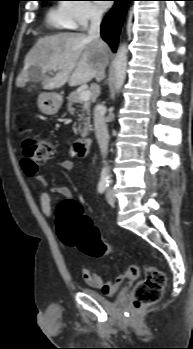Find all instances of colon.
Here are the masks:
<instances>
[{
    "label": "colon",
    "mask_w": 193,
    "mask_h": 349,
    "mask_svg": "<svg viewBox=\"0 0 193 349\" xmlns=\"http://www.w3.org/2000/svg\"><path fill=\"white\" fill-rule=\"evenodd\" d=\"M25 161L35 169L53 158L56 152L52 142L32 136L22 140ZM57 229L60 239L89 256H102L114 251L100 235L80 206L73 201H63L57 207ZM166 283L165 274L155 267H148L144 279L134 290V306L141 309L160 300Z\"/></svg>",
    "instance_id": "5ec220e1"
}]
</instances>
